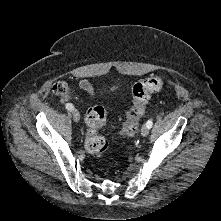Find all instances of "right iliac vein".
Wrapping results in <instances>:
<instances>
[{
  "instance_id": "right-iliac-vein-1",
  "label": "right iliac vein",
  "mask_w": 221,
  "mask_h": 221,
  "mask_svg": "<svg viewBox=\"0 0 221 221\" xmlns=\"http://www.w3.org/2000/svg\"><path fill=\"white\" fill-rule=\"evenodd\" d=\"M72 116H73V120L75 122H78L80 120V114H79L78 110L74 109L72 112Z\"/></svg>"
}]
</instances>
